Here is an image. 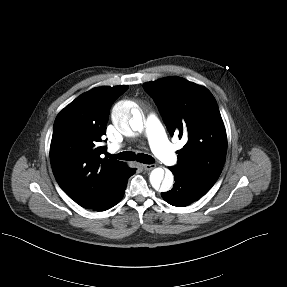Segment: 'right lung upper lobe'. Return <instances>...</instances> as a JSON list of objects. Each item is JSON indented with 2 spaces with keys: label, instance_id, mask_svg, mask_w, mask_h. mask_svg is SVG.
<instances>
[{
  "label": "right lung upper lobe",
  "instance_id": "cb5924a9",
  "mask_svg": "<svg viewBox=\"0 0 287 287\" xmlns=\"http://www.w3.org/2000/svg\"><path fill=\"white\" fill-rule=\"evenodd\" d=\"M128 86L100 87L83 93L56 117L50 146L54 176L62 190L84 208L105 200L130 168L116 159L101 158L98 146L106 134L112 103Z\"/></svg>",
  "mask_w": 287,
  "mask_h": 287
}]
</instances>
